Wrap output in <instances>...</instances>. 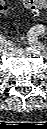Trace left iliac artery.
I'll use <instances>...</instances> for the list:
<instances>
[{
  "label": "left iliac artery",
  "instance_id": "obj_1",
  "mask_svg": "<svg viewBox=\"0 0 47 129\" xmlns=\"http://www.w3.org/2000/svg\"><path fill=\"white\" fill-rule=\"evenodd\" d=\"M45 32V28L43 25H37L35 27H33L31 30H30V37L32 36H37V35H41L42 33Z\"/></svg>",
  "mask_w": 47,
  "mask_h": 129
}]
</instances>
